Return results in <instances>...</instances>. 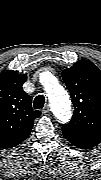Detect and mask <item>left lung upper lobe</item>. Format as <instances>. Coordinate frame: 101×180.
<instances>
[{"mask_svg": "<svg viewBox=\"0 0 101 180\" xmlns=\"http://www.w3.org/2000/svg\"><path fill=\"white\" fill-rule=\"evenodd\" d=\"M74 106L73 118L62 126L66 139L97 146L101 142V71L79 60L62 72Z\"/></svg>", "mask_w": 101, "mask_h": 180, "instance_id": "5c2ea615", "label": "left lung upper lobe"}]
</instances>
